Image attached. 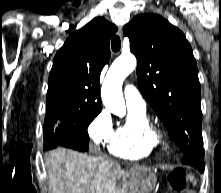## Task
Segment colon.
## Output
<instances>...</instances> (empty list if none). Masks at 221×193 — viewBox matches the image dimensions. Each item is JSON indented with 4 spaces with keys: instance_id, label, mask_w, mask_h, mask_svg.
Masks as SVG:
<instances>
[{
    "instance_id": "obj_1",
    "label": "colon",
    "mask_w": 221,
    "mask_h": 193,
    "mask_svg": "<svg viewBox=\"0 0 221 193\" xmlns=\"http://www.w3.org/2000/svg\"><path fill=\"white\" fill-rule=\"evenodd\" d=\"M168 183L170 187L178 193L186 191L187 180L184 171L180 168L173 169L168 175ZM187 193H193V192L188 191Z\"/></svg>"
}]
</instances>
